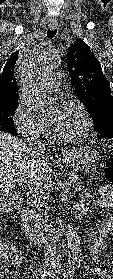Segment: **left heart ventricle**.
<instances>
[{
  "instance_id": "obj_1",
  "label": "left heart ventricle",
  "mask_w": 113,
  "mask_h": 279,
  "mask_svg": "<svg viewBox=\"0 0 113 279\" xmlns=\"http://www.w3.org/2000/svg\"><path fill=\"white\" fill-rule=\"evenodd\" d=\"M46 120L61 135H75L83 127L82 117L79 111L72 106H65L61 109L52 107L46 116Z\"/></svg>"
}]
</instances>
